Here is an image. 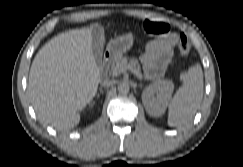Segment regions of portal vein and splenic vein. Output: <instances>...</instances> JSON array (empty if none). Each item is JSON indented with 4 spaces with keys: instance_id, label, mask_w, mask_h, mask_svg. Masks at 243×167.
I'll return each instance as SVG.
<instances>
[{
    "instance_id": "obj_1",
    "label": "portal vein and splenic vein",
    "mask_w": 243,
    "mask_h": 167,
    "mask_svg": "<svg viewBox=\"0 0 243 167\" xmlns=\"http://www.w3.org/2000/svg\"><path fill=\"white\" fill-rule=\"evenodd\" d=\"M126 70H130L131 72L136 74L139 79H142V75L139 74L138 71L132 65L122 66L120 69L121 72H125Z\"/></svg>"
}]
</instances>
